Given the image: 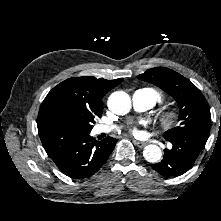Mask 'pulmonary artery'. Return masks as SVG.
Wrapping results in <instances>:
<instances>
[{
  "label": "pulmonary artery",
  "mask_w": 221,
  "mask_h": 221,
  "mask_svg": "<svg viewBox=\"0 0 221 221\" xmlns=\"http://www.w3.org/2000/svg\"><path fill=\"white\" fill-rule=\"evenodd\" d=\"M157 101L156 94L152 88L138 89L132 95V104L137 111L148 110L152 108ZM113 130L114 126L98 125L95 128V133H110Z\"/></svg>",
  "instance_id": "pulmonary-artery-1"
}]
</instances>
